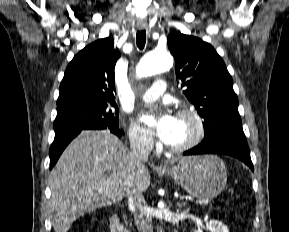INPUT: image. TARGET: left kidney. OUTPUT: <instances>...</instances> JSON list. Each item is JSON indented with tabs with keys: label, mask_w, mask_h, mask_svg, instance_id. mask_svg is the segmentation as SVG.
Segmentation results:
<instances>
[{
	"label": "left kidney",
	"mask_w": 289,
	"mask_h": 232,
	"mask_svg": "<svg viewBox=\"0 0 289 232\" xmlns=\"http://www.w3.org/2000/svg\"><path fill=\"white\" fill-rule=\"evenodd\" d=\"M203 230L210 232H229L227 226L217 220L207 222L205 226L198 228L195 232H202Z\"/></svg>",
	"instance_id": "1"
}]
</instances>
